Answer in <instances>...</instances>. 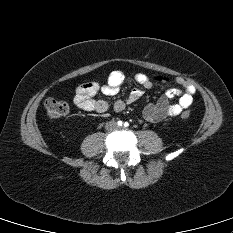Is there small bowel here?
<instances>
[{"label":"small bowel","mask_w":233,"mask_h":233,"mask_svg":"<svg viewBox=\"0 0 233 233\" xmlns=\"http://www.w3.org/2000/svg\"><path fill=\"white\" fill-rule=\"evenodd\" d=\"M124 74L115 70L112 71L106 82H87L78 86L75 90L73 101L75 105L84 111H94L97 113H105L109 109V103L105 100H96L94 96L102 93L106 96H113L118 93L120 86L124 81ZM135 81L144 88H151L154 79L164 80L162 77L152 78L147 74L138 73L134 77ZM176 83L182 88L171 87L159 98L156 103H149L143 108V116L147 121L157 123L167 117L178 116L184 110L191 106L196 93L195 86L183 77H177ZM143 95L142 90L135 88L131 91L125 101L117 100L113 109L115 112H122L126 103H133ZM178 98V102L170 104V100Z\"/></svg>","instance_id":"obj_1"}]
</instances>
